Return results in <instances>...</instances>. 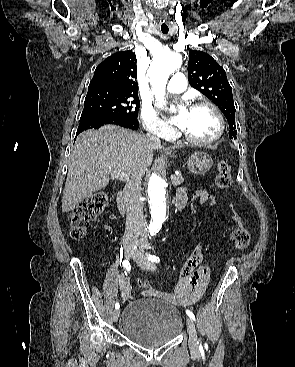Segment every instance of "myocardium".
Masks as SVG:
<instances>
[{
    "instance_id": "myocardium-1",
    "label": "myocardium",
    "mask_w": 295,
    "mask_h": 367,
    "mask_svg": "<svg viewBox=\"0 0 295 367\" xmlns=\"http://www.w3.org/2000/svg\"><path fill=\"white\" fill-rule=\"evenodd\" d=\"M197 107H208L213 111V113L215 114V116L217 118V121H218V130H217V132L212 137H210L208 139H204V140L195 139V138L189 136L183 130L180 131V135L184 138L185 141H187L188 143H190L192 145H195V146H208V145H211V144L217 142L222 137V135L225 131L224 117H223L221 111L219 110V108L210 101H206V100L196 101L191 106V108H197Z\"/></svg>"
}]
</instances>
